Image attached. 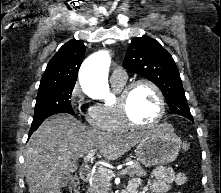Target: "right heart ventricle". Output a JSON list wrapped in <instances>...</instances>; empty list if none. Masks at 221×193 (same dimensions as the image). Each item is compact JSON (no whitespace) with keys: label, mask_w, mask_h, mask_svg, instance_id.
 <instances>
[{"label":"right heart ventricle","mask_w":221,"mask_h":193,"mask_svg":"<svg viewBox=\"0 0 221 193\" xmlns=\"http://www.w3.org/2000/svg\"><path fill=\"white\" fill-rule=\"evenodd\" d=\"M114 91L119 94L125 85V82H112ZM91 125L97 129L108 132H124L128 126L123 122L117 102L100 103L93 105L88 115Z\"/></svg>","instance_id":"obj_1"}]
</instances>
